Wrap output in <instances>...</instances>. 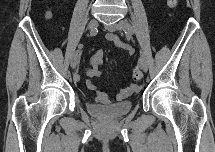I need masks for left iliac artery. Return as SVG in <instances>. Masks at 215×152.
<instances>
[{"label":"left iliac artery","mask_w":215,"mask_h":152,"mask_svg":"<svg viewBox=\"0 0 215 152\" xmlns=\"http://www.w3.org/2000/svg\"><path fill=\"white\" fill-rule=\"evenodd\" d=\"M122 25H123V28H124V31L126 34L132 35L134 33L132 26L128 22H122ZM137 59H138V63L136 64L137 65L136 67L139 69L141 67L140 66L141 63L143 62V60H142L143 58L141 56H139Z\"/></svg>","instance_id":"1"}]
</instances>
